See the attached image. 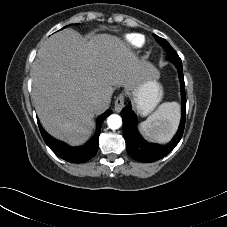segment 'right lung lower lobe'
I'll use <instances>...</instances> for the list:
<instances>
[{"label": "right lung lower lobe", "mask_w": 227, "mask_h": 227, "mask_svg": "<svg viewBox=\"0 0 227 227\" xmlns=\"http://www.w3.org/2000/svg\"><path fill=\"white\" fill-rule=\"evenodd\" d=\"M111 113V110H107L98 118L95 135L89 142L80 147H71L61 141L54 139L42 128L39 122L38 125L45 143L55 154L68 162L84 163L94 157L97 153L102 123L104 119Z\"/></svg>", "instance_id": "98d812e1"}]
</instances>
